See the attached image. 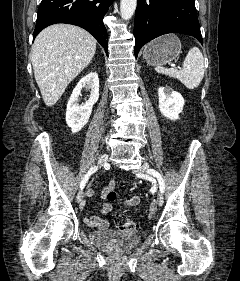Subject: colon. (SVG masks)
I'll return each mask as SVG.
<instances>
[{
  "label": "colon",
  "mask_w": 240,
  "mask_h": 281,
  "mask_svg": "<svg viewBox=\"0 0 240 281\" xmlns=\"http://www.w3.org/2000/svg\"><path fill=\"white\" fill-rule=\"evenodd\" d=\"M105 197L108 201H114L116 198L115 186H109L105 190ZM114 224L118 229L136 231L139 225L131 221L128 217L123 214H117L114 218Z\"/></svg>",
  "instance_id": "5ec220e1"
}]
</instances>
